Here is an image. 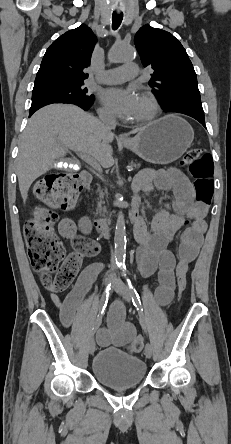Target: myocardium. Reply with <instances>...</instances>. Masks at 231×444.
Listing matches in <instances>:
<instances>
[{
	"mask_svg": "<svg viewBox=\"0 0 231 444\" xmlns=\"http://www.w3.org/2000/svg\"><path fill=\"white\" fill-rule=\"evenodd\" d=\"M140 97H142L150 106V111L145 114L142 115L140 117L134 118L131 121L133 123H147L150 122L152 120H154L159 112H160V105L156 99V97L149 91H142L140 93Z\"/></svg>",
	"mask_w": 231,
	"mask_h": 444,
	"instance_id": "myocardium-1",
	"label": "myocardium"
}]
</instances>
